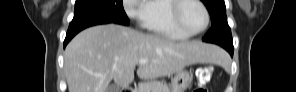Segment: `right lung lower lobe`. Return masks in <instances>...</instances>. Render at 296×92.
<instances>
[{
    "instance_id": "right-lung-lower-lobe-1",
    "label": "right lung lower lobe",
    "mask_w": 296,
    "mask_h": 92,
    "mask_svg": "<svg viewBox=\"0 0 296 92\" xmlns=\"http://www.w3.org/2000/svg\"><path fill=\"white\" fill-rule=\"evenodd\" d=\"M107 23H112L109 21H104V20H99V19H87V20H82V21H77V22H71L66 34V38L64 40V47L67 45V43L81 30L93 26V25H98V24H107Z\"/></svg>"
}]
</instances>
